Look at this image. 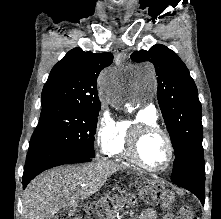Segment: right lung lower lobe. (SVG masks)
I'll return each mask as SVG.
<instances>
[{"label": "right lung lower lobe", "mask_w": 221, "mask_h": 219, "mask_svg": "<svg viewBox=\"0 0 221 219\" xmlns=\"http://www.w3.org/2000/svg\"><path fill=\"white\" fill-rule=\"evenodd\" d=\"M92 158L78 156L65 151L42 144L29 148L23 174V188L31 179L49 168L81 162H89Z\"/></svg>", "instance_id": "obj_1"}]
</instances>
